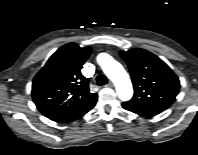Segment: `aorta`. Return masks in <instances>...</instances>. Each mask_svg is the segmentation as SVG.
Returning a JSON list of instances; mask_svg holds the SVG:
<instances>
[{"instance_id": "obj_1", "label": "aorta", "mask_w": 198, "mask_h": 155, "mask_svg": "<svg viewBox=\"0 0 198 155\" xmlns=\"http://www.w3.org/2000/svg\"><path fill=\"white\" fill-rule=\"evenodd\" d=\"M97 62L102 67L107 77L114 83L118 97L122 101L131 99L133 87L129 75L123 66L107 53L99 54Z\"/></svg>"}]
</instances>
